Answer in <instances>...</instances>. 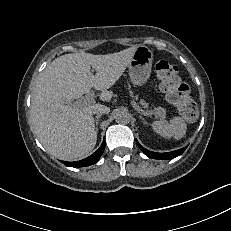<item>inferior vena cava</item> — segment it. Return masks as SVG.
Masks as SVG:
<instances>
[{
  "label": "inferior vena cava",
  "mask_w": 231,
  "mask_h": 231,
  "mask_svg": "<svg viewBox=\"0 0 231 231\" xmlns=\"http://www.w3.org/2000/svg\"><path fill=\"white\" fill-rule=\"evenodd\" d=\"M109 112V108L104 106V105H101L100 107L96 108L94 111H93V114H107Z\"/></svg>",
  "instance_id": "obj_1"
}]
</instances>
